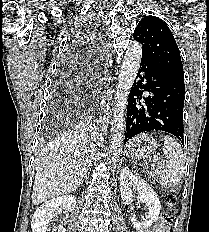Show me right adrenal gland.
Wrapping results in <instances>:
<instances>
[{
	"mask_svg": "<svg viewBox=\"0 0 209 232\" xmlns=\"http://www.w3.org/2000/svg\"><path fill=\"white\" fill-rule=\"evenodd\" d=\"M88 176H89V174H88V175L86 174L84 178H85V179H88Z\"/></svg>",
	"mask_w": 209,
	"mask_h": 232,
	"instance_id": "1",
	"label": "right adrenal gland"
}]
</instances>
